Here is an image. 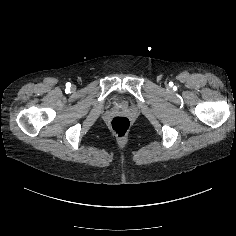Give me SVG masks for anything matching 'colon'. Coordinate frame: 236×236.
<instances>
[{"mask_svg":"<svg viewBox=\"0 0 236 236\" xmlns=\"http://www.w3.org/2000/svg\"><path fill=\"white\" fill-rule=\"evenodd\" d=\"M131 127L130 120L124 116H117L111 120L110 128L118 136L124 137L128 134Z\"/></svg>","mask_w":236,"mask_h":236,"instance_id":"colon-1","label":"colon"}]
</instances>
